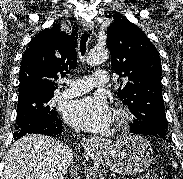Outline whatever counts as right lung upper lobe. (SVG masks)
Wrapping results in <instances>:
<instances>
[{"label":"right lung upper lobe","mask_w":183,"mask_h":179,"mask_svg":"<svg viewBox=\"0 0 183 179\" xmlns=\"http://www.w3.org/2000/svg\"><path fill=\"white\" fill-rule=\"evenodd\" d=\"M77 31L72 34L61 31L58 24L39 32L28 44L22 55L19 73V98L53 94L57 83L77 65Z\"/></svg>","instance_id":"cb5924a9"}]
</instances>
